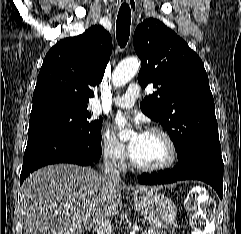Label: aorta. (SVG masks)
Wrapping results in <instances>:
<instances>
[{
    "label": "aorta",
    "mask_w": 241,
    "mask_h": 234,
    "mask_svg": "<svg viewBox=\"0 0 241 234\" xmlns=\"http://www.w3.org/2000/svg\"><path fill=\"white\" fill-rule=\"evenodd\" d=\"M140 62L137 58L132 57L123 60L115 68L112 76V83L114 86L119 87L128 83L138 72ZM131 131L129 129L123 130L119 136L120 138H128Z\"/></svg>",
    "instance_id": "aorta-1"
}]
</instances>
